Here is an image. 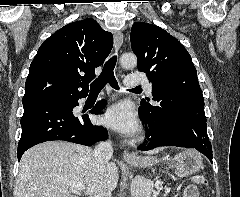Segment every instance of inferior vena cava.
I'll list each match as a JSON object with an SVG mask.
<instances>
[{
	"label": "inferior vena cava",
	"instance_id": "obj_1",
	"mask_svg": "<svg viewBox=\"0 0 240 197\" xmlns=\"http://www.w3.org/2000/svg\"><path fill=\"white\" fill-rule=\"evenodd\" d=\"M113 155V147L111 141L100 142L93 151V156L99 165L108 163ZM93 197H111V192L104 187H99Z\"/></svg>",
	"mask_w": 240,
	"mask_h": 197
}]
</instances>
